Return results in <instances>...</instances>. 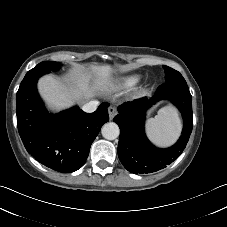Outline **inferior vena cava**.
<instances>
[{
  "label": "inferior vena cava",
  "mask_w": 227,
  "mask_h": 227,
  "mask_svg": "<svg viewBox=\"0 0 227 227\" xmlns=\"http://www.w3.org/2000/svg\"><path fill=\"white\" fill-rule=\"evenodd\" d=\"M98 105L99 102L97 100H91L82 106V110L86 113H92L97 109Z\"/></svg>",
  "instance_id": "obj_1"
}]
</instances>
